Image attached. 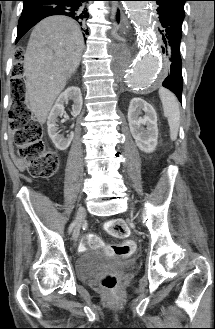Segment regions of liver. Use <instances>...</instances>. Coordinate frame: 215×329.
Segmentation results:
<instances>
[{
    "label": "liver",
    "mask_w": 215,
    "mask_h": 329,
    "mask_svg": "<svg viewBox=\"0 0 215 329\" xmlns=\"http://www.w3.org/2000/svg\"><path fill=\"white\" fill-rule=\"evenodd\" d=\"M84 48L79 25L65 16H52L38 23L24 57L26 100L41 124L67 80L77 70Z\"/></svg>",
    "instance_id": "liver-1"
}]
</instances>
